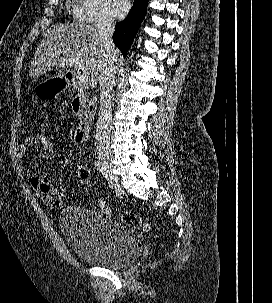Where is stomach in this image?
<instances>
[{
  "label": "stomach",
  "mask_w": 272,
  "mask_h": 303,
  "mask_svg": "<svg viewBox=\"0 0 272 303\" xmlns=\"http://www.w3.org/2000/svg\"><path fill=\"white\" fill-rule=\"evenodd\" d=\"M68 85L67 80L64 78H51L36 85L34 94L41 99H54L64 91Z\"/></svg>",
  "instance_id": "obj_1"
}]
</instances>
